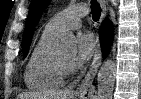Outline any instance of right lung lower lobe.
<instances>
[{
  "label": "right lung lower lobe",
  "mask_w": 141,
  "mask_h": 99,
  "mask_svg": "<svg viewBox=\"0 0 141 99\" xmlns=\"http://www.w3.org/2000/svg\"><path fill=\"white\" fill-rule=\"evenodd\" d=\"M113 35H114V30H113L112 22L106 19L103 22L100 30V40H101L104 56H106L109 51L110 45L113 41Z\"/></svg>",
  "instance_id": "1"
}]
</instances>
